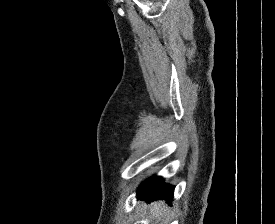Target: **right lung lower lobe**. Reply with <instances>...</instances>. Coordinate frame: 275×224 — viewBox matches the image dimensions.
Returning a JSON list of instances; mask_svg holds the SVG:
<instances>
[{
	"mask_svg": "<svg viewBox=\"0 0 275 224\" xmlns=\"http://www.w3.org/2000/svg\"><path fill=\"white\" fill-rule=\"evenodd\" d=\"M138 197L145 198L149 202L157 199H165L168 202L172 201L174 194V187L164 183L162 177L154 176L147 179L138 188Z\"/></svg>",
	"mask_w": 275,
	"mask_h": 224,
	"instance_id": "98d812e1",
	"label": "right lung lower lobe"
}]
</instances>
